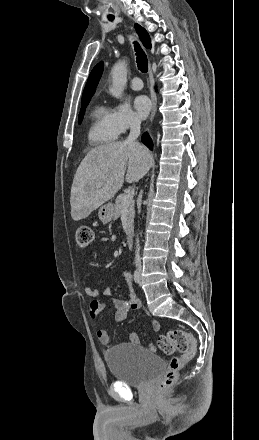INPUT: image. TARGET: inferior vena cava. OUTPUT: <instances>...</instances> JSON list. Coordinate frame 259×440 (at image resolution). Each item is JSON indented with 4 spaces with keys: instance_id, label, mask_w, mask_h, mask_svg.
Masks as SVG:
<instances>
[{
    "instance_id": "602c4592",
    "label": "inferior vena cava",
    "mask_w": 259,
    "mask_h": 440,
    "mask_svg": "<svg viewBox=\"0 0 259 440\" xmlns=\"http://www.w3.org/2000/svg\"><path fill=\"white\" fill-rule=\"evenodd\" d=\"M140 135V121L137 119H132L130 122V133L126 142L131 144H138L137 138ZM138 212L140 213V204L138 205ZM135 265L138 269L141 268V258H140V246L139 239H136V251H135Z\"/></svg>"
}]
</instances>
